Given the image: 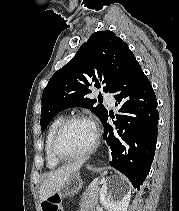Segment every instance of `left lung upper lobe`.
Returning <instances> with one entry per match:
<instances>
[{
    "label": "left lung upper lobe",
    "instance_id": "left-lung-upper-lobe-1",
    "mask_svg": "<svg viewBox=\"0 0 179 211\" xmlns=\"http://www.w3.org/2000/svg\"><path fill=\"white\" fill-rule=\"evenodd\" d=\"M132 54L128 45L112 31H98L82 44L76 55L49 80L42 94L41 128L44 130L52 118L70 107L90 109L101 122L108 114L106 108L89 99L90 87L104 91L113 89Z\"/></svg>",
    "mask_w": 179,
    "mask_h": 211
}]
</instances>
